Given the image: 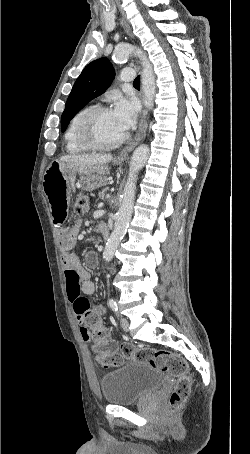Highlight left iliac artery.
I'll return each mask as SVG.
<instances>
[{
    "mask_svg": "<svg viewBox=\"0 0 250 454\" xmlns=\"http://www.w3.org/2000/svg\"><path fill=\"white\" fill-rule=\"evenodd\" d=\"M109 306L111 307V309L117 314H118V305L116 303V301L114 299H110L109 300Z\"/></svg>",
    "mask_w": 250,
    "mask_h": 454,
    "instance_id": "44dca946",
    "label": "left iliac artery"
}]
</instances>
